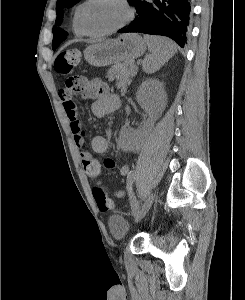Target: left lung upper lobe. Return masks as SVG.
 Listing matches in <instances>:
<instances>
[{"instance_id": "obj_1", "label": "left lung upper lobe", "mask_w": 245, "mask_h": 300, "mask_svg": "<svg viewBox=\"0 0 245 300\" xmlns=\"http://www.w3.org/2000/svg\"><path fill=\"white\" fill-rule=\"evenodd\" d=\"M80 0H57L56 7V25H60L63 19V9L70 8ZM134 0H128L130 4L133 3ZM67 33L59 27H53V42L52 48L55 50L59 44L66 38Z\"/></svg>"}]
</instances>
